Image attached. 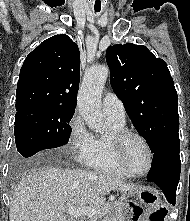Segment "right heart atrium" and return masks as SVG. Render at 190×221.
Masks as SVG:
<instances>
[{"instance_id": "1", "label": "right heart atrium", "mask_w": 190, "mask_h": 221, "mask_svg": "<svg viewBox=\"0 0 190 221\" xmlns=\"http://www.w3.org/2000/svg\"><path fill=\"white\" fill-rule=\"evenodd\" d=\"M94 136L88 130L79 113H74L69 122L68 145L78 163H85L93 151Z\"/></svg>"}]
</instances>
